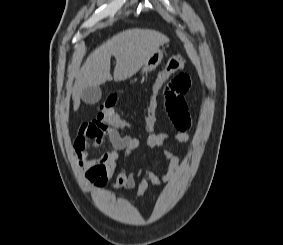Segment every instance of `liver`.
I'll use <instances>...</instances> for the list:
<instances>
[{"label": "liver", "instance_id": "liver-1", "mask_svg": "<svg viewBox=\"0 0 283 245\" xmlns=\"http://www.w3.org/2000/svg\"><path fill=\"white\" fill-rule=\"evenodd\" d=\"M168 41L167 36L154 30L129 29L114 35L97 47L87 57L75 77L72 91L74 110L79 108L80 98L85 88L96 87L112 79L111 56L116 59L114 80H126L132 77L151 55Z\"/></svg>", "mask_w": 283, "mask_h": 245}]
</instances>
